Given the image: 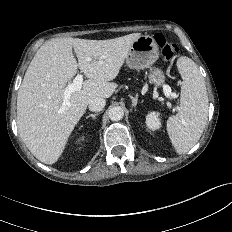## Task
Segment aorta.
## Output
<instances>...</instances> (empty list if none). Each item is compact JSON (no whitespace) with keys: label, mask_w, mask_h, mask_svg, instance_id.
I'll return each mask as SVG.
<instances>
[{"label":"aorta","mask_w":232,"mask_h":232,"mask_svg":"<svg viewBox=\"0 0 232 232\" xmlns=\"http://www.w3.org/2000/svg\"><path fill=\"white\" fill-rule=\"evenodd\" d=\"M108 116L112 121H120L124 117V111L120 106H113L109 109Z\"/></svg>","instance_id":"762f6f07"}]
</instances>
